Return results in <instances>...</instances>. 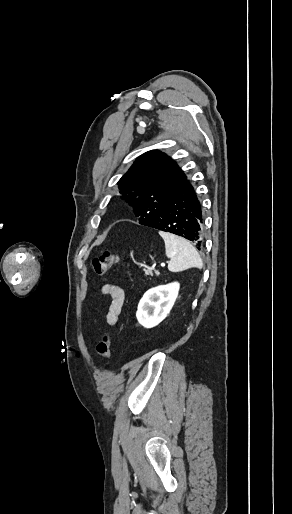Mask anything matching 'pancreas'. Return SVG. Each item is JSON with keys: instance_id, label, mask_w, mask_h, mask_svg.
<instances>
[{"instance_id": "cf45deb5", "label": "pancreas", "mask_w": 292, "mask_h": 514, "mask_svg": "<svg viewBox=\"0 0 292 514\" xmlns=\"http://www.w3.org/2000/svg\"><path fill=\"white\" fill-rule=\"evenodd\" d=\"M144 272H145V276H149V274H150V276H153L151 270H144ZM155 274H157V276H159V272H155Z\"/></svg>"}]
</instances>
